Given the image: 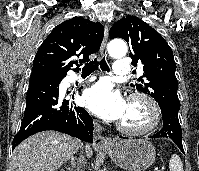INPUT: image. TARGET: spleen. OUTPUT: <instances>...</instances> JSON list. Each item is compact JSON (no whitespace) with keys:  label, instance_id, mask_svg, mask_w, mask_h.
Segmentation results:
<instances>
[{"label":"spleen","instance_id":"3e777b00","mask_svg":"<svg viewBox=\"0 0 199 171\" xmlns=\"http://www.w3.org/2000/svg\"><path fill=\"white\" fill-rule=\"evenodd\" d=\"M170 171H183V164L177 154H173L169 161Z\"/></svg>","mask_w":199,"mask_h":171}]
</instances>
